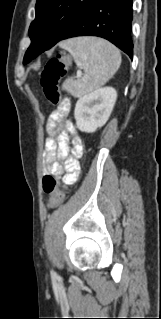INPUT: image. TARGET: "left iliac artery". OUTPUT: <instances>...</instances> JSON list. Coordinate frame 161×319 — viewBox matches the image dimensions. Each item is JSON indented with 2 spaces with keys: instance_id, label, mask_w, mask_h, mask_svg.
I'll use <instances>...</instances> for the list:
<instances>
[{
  "instance_id": "44dca946",
  "label": "left iliac artery",
  "mask_w": 161,
  "mask_h": 319,
  "mask_svg": "<svg viewBox=\"0 0 161 319\" xmlns=\"http://www.w3.org/2000/svg\"><path fill=\"white\" fill-rule=\"evenodd\" d=\"M51 274H52V275H56V273H55L53 270H51Z\"/></svg>"
}]
</instances>
